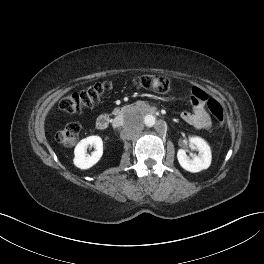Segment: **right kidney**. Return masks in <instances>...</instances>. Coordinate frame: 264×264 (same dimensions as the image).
<instances>
[{"label": "right kidney", "instance_id": "right-kidney-1", "mask_svg": "<svg viewBox=\"0 0 264 264\" xmlns=\"http://www.w3.org/2000/svg\"><path fill=\"white\" fill-rule=\"evenodd\" d=\"M88 147L95 150L90 154L86 153ZM73 163L80 169H89L94 166L103 155V141L99 136H89L82 139L75 147Z\"/></svg>", "mask_w": 264, "mask_h": 264}]
</instances>
